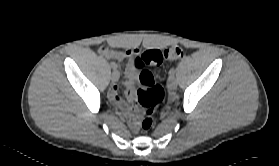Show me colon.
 Wrapping results in <instances>:
<instances>
[{
	"label": "colon",
	"instance_id": "1",
	"mask_svg": "<svg viewBox=\"0 0 279 166\" xmlns=\"http://www.w3.org/2000/svg\"><path fill=\"white\" fill-rule=\"evenodd\" d=\"M184 56L183 49L178 45H171L163 51L152 49L138 55L134 60V68L139 72L140 89L137 91L136 102L142 108L140 128L148 131L154 121V113L165 99V91L162 86L155 84L152 73L146 69L148 66L157 65L163 59L177 61Z\"/></svg>",
	"mask_w": 279,
	"mask_h": 166
}]
</instances>
